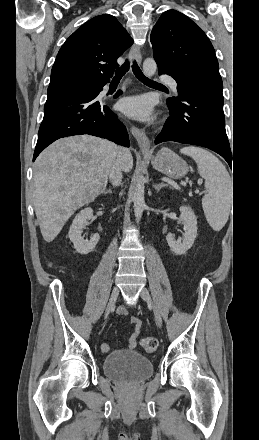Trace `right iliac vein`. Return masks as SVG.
Segmentation results:
<instances>
[{
	"label": "right iliac vein",
	"mask_w": 259,
	"mask_h": 440,
	"mask_svg": "<svg viewBox=\"0 0 259 440\" xmlns=\"http://www.w3.org/2000/svg\"><path fill=\"white\" fill-rule=\"evenodd\" d=\"M118 295H119V289L117 287H114V289L112 290L109 302L107 304L106 310H105V318L113 310L115 303L117 301Z\"/></svg>",
	"instance_id": "obj_1"
}]
</instances>
